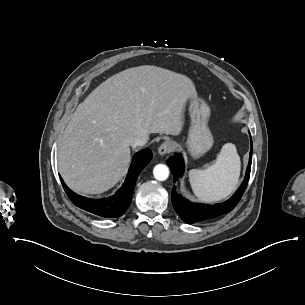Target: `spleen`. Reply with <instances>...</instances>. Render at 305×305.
Here are the masks:
<instances>
[{
    "mask_svg": "<svg viewBox=\"0 0 305 305\" xmlns=\"http://www.w3.org/2000/svg\"><path fill=\"white\" fill-rule=\"evenodd\" d=\"M241 161L233 143L223 145L215 164L205 170L189 171L193 193L205 203L218 202L229 196L238 185Z\"/></svg>",
    "mask_w": 305,
    "mask_h": 305,
    "instance_id": "3e777b00",
    "label": "spleen"
}]
</instances>
